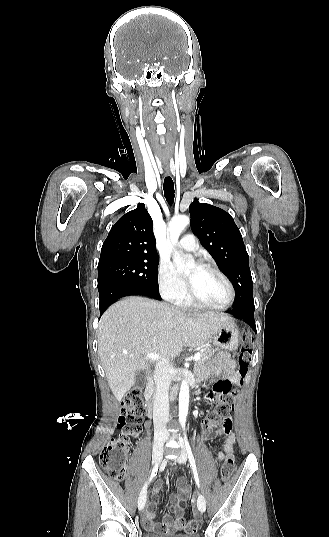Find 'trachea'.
I'll use <instances>...</instances> for the list:
<instances>
[{"instance_id": "1", "label": "trachea", "mask_w": 329, "mask_h": 537, "mask_svg": "<svg viewBox=\"0 0 329 537\" xmlns=\"http://www.w3.org/2000/svg\"><path fill=\"white\" fill-rule=\"evenodd\" d=\"M163 190L167 202L171 205L174 202L175 190L173 180L170 176L165 177Z\"/></svg>"}]
</instances>
